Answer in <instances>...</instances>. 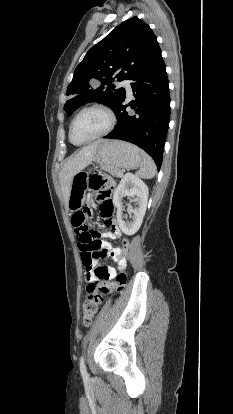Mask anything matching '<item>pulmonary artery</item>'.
<instances>
[{
	"label": "pulmonary artery",
	"mask_w": 233,
	"mask_h": 414,
	"mask_svg": "<svg viewBox=\"0 0 233 414\" xmlns=\"http://www.w3.org/2000/svg\"><path fill=\"white\" fill-rule=\"evenodd\" d=\"M121 84L126 89V92H127L128 96H131L132 95V88H131L130 82L128 80H123L121 82Z\"/></svg>",
	"instance_id": "e3ab8cb5"
}]
</instances>
